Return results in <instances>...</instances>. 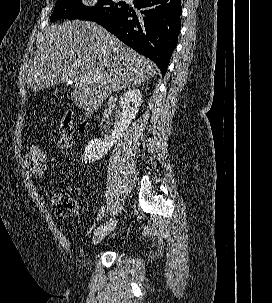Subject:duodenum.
I'll list each match as a JSON object with an SVG mask.
<instances>
[{
  "mask_svg": "<svg viewBox=\"0 0 272 303\" xmlns=\"http://www.w3.org/2000/svg\"><path fill=\"white\" fill-rule=\"evenodd\" d=\"M85 125L83 124L82 126H81V133H84L85 132Z\"/></svg>",
  "mask_w": 272,
  "mask_h": 303,
  "instance_id": "1",
  "label": "duodenum"
}]
</instances>
